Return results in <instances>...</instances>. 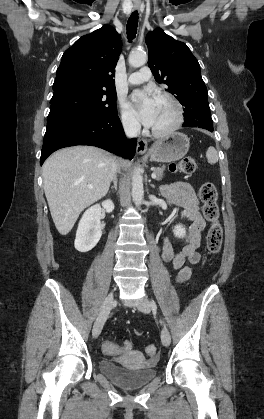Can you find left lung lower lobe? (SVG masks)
<instances>
[{
	"instance_id": "0a47b994",
	"label": "left lung lower lobe",
	"mask_w": 264,
	"mask_h": 419,
	"mask_svg": "<svg viewBox=\"0 0 264 419\" xmlns=\"http://www.w3.org/2000/svg\"><path fill=\"white\" fill-rule=\"evenodd\" d=\"M183 127H199L213 131L212 118L208 102L198 105L196 109L185 108Z\"/></svg>"
}]
</instances>
